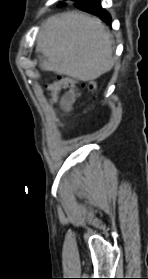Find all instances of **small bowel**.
Segmentation results:
<instances>
[{"instance_id": "1", "label": "small bowel", "mask_w": 148, "mask_h": 279, "mask_svg": "<svg viewBox=\"0 0 148 279\" xmlns=\"http://www.w3.org/2000/svg\"><path fill=\"white\" fill-rule=\"evenodd\" d=\"M78 97V93H69L64 95L60 100L59 104L63 111L67 112L71 110L73 104L75 103Z\"/></svg>"}]
</instances>
